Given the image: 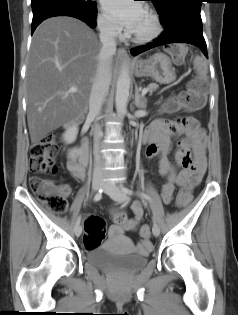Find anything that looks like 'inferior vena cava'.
I'll return each mask as SVG.
<instances>
[{
  "label": "inferior vena cava",
  "instance_id": "1",
  "mask_svg": "<svg viewBox=\"0 0 238 315\" xmlns=\"http://www.w3.org/2000/svg\"><path fill=\"white\" fill-rule=\"evenodd\" d=\"M100 29V42L102 44L96 69V75L89 97V116L97 118L102 109V105L105 97L109 92L111 83V62L112 57L116 53V40H115V28L111 23L103 22L99 26ZM103 136L101 127L98 124H94V179H103L105 172L102 165V157L100 154V140Z\"/></svg>",
  "mask_w": 238,
  "mask_h": 315
}]
</instances>
